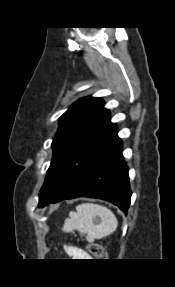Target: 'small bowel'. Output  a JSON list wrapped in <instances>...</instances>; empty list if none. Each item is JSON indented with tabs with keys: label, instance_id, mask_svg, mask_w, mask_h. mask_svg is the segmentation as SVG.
I'll return each mask as SVG.
<instances>
[{
	"label": "small bowel",
	"instance_id": "small-bowel-1",
	"mask_svg": "<svg viewBox=\"0 0 175 287\" xmlns=\"http://www.w3.org/2000/svg\"><path fill=\"white\" fill-rule=\"evenodd\" d=\"M65 250L67 251L68 254L76 256V257H82L84 256V253L80 251L79 249L70 246V245H65L64 246Z\"/></svg>",
	"mask_w": 175,
	"mask_h": 287
}]
</instances>
